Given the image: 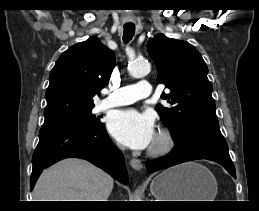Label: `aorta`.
<instances>
[{
    "mask_svg": "<svg viewBox=\"0 0 259 211\" xmlns=\"http://www.w3.org/2000/svg\"><path fill=\"white\" fill-rule=\"evenodd\" d=\"M128 70H129V73L132 77L142 78L150 72L151 66H150V63L148 61L139 60V61L132 62L129 65Z\"/></svg>",
    "mask_w": 259,
    "mask_h": 211,
    "instance_id": "obj_1",
    "label": "aorta"
}]
</instances>
